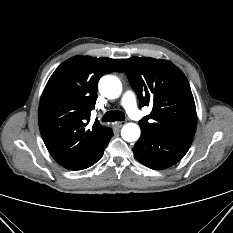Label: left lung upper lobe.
Returning <instances> with one entry per match:
<instances>
[{
  "label": "left lung upper lobe",
  "mask_w": 233,
  "mask_h": 233,
  "mask_svg": "<svg viewBox=\"0 0 233 233\" xmlns=\"http://www.w3.org/2000/svg\"><path fill=\"white\" fill-rule=\"evenodd\" d=\"M140 106H153L141 129L174 138H194L197 114L183 72L167 60L133 57L121 60Z\"/></svg>",
  "instance_id": "obj_1"
}]
</instances>
